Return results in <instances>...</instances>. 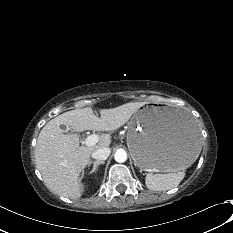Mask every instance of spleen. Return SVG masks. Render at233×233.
<instances>
[{
  "label": "spleen",
  "mask_w": 233,
  "mask_h": 233,
  "mask_svg": "<svg viewBox=\"0 0 233 233\" xmlns=\"http://www.w3.org/2000/svg\"><path fill=\"white\" fill-rule=\"evenodd\" d=\"M184 172L168 174H147L146 186L154 191H165L177 187L184 178Z\"/></svg>",
  "instance_id": "obj_1"
}]
</instances>
